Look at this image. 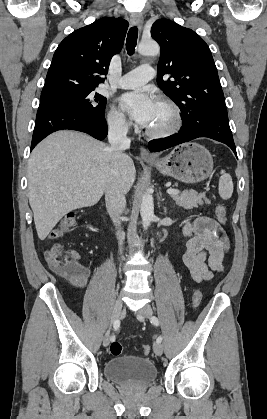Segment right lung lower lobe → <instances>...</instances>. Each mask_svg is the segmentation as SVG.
Wrapping results in <instances>:
<instances>
[{"label": "right lung lower lobe", "instance_id": "1", "mask_svg": "<svg viewBox=\"0 0 267 419\" xmlns=\"http://www.w3.org/2000/svg\"><path fill=\"white\" fill-rule=\"evenodd\" d=\"M63 129L85 132L98 140H103L108 132L104 116L87 117L64 104L44 99L37 111L31 150L49 134Z\"/></svg>", "mask_w": 267, "mask_h": 419}]
</instances>
